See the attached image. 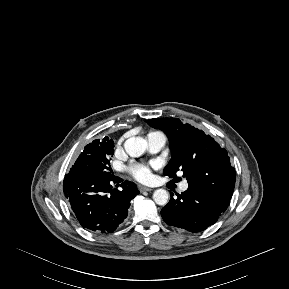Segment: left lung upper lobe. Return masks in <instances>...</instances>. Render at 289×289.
I'll return each mask as SVG.
<instances>
[{
	"label": "left lung upper lobe",
	"mask_w": 289,
	"mask_h": 289,
	"mask_svg": "<svg viewBox=\"0 0 289 289\" xmlns=\"http://www.w3.org/2000/svg\"><path fill=\"white\" fill-rule=\"evenodd\" d=\"M147 123L161 129L170 141L173 156L164 169L165 175L173 178L182 170L189 188L230 201L236 172L224 148L202 130L177 118H155Z\"/></svg>",
	"instance_id": "left-lung-upper-lobe-1"
}]
</instances>
